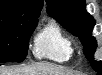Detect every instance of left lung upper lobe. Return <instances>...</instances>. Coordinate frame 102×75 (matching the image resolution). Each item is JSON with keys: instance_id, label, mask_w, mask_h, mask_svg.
I'll return each mask as SVG.
<instances>
[{"instance_id": "5c2ea615", "label": "left lung upper lobe", "mask_w": 102, "mask_h": 75, "mask_svg": "<svg viewBox=\"0 0 102 75\" xmlns=\"http://www.w3.org/2000/svg\"><path fill=\"white\" fill-rule=\"evenodd\" d=\"M47 12L56 19L64 28L79 37L84 46V53L93 69L102 73V64L93 59L97 47L92 30L95 20L85 9V0H46Z\"/></svg>"}]
</instances>
